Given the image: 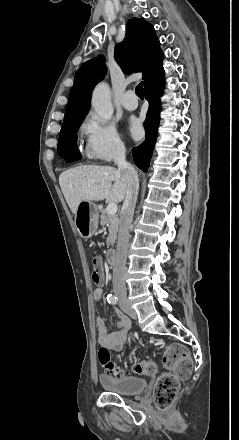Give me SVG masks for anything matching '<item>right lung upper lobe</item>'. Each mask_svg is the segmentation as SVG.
<instances>
[{
  "instance_id": "1",
  "label": "right lung upper lobe",
  "mask_w": 239,
  "mask_h": 440,
  "mask_svg": "<svg viewBox=\"0 0 239 440\" xmlns=\"http://www.w3.org/2000/svg\"><path fill=\"white\" fill-rule=\"evenodd\" d=\"M159 45L154 27L144 19L132 18L127 22L125 39L115 46V59L125 74L142 72L145 83L163 69ZM102 61L103 56L89 60L76 72L63 124L87 114L91 92L106 74Z\"/></svg>"
}]
</instances>
